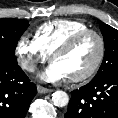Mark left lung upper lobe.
Returning <instances> with one entry per match:
<instances>
[{
  "label": "left lung upper lobe",
  "instance_id": "1",
  "mask_svg": "<svg viewBox=\"0 0 118 118\" xmlns=\"http://www.w3.org/2000/svg\"><path fill=\"white\" fill-rule=\"evenodd\" d=\"M99 25L104 37L105 54L98 73L93 80L118 72V30L100 21Z\"/></svg>",
  "mask_w": 118,
  "mask_h": 118
}]
</instances>
